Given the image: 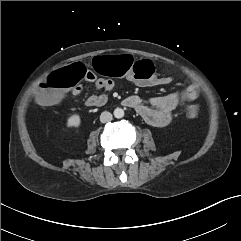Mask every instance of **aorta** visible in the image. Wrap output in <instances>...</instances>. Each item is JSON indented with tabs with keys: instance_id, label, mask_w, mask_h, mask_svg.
Here are the masks:
<instances>
[{
	"instance_id": "1",
	"label": "aorta",
	"mask_w": 241,
	"mask_h": 241,
	"mask_svg": "<svg viewBox=\"0 0 241 241\" xmlns=\"http://www.w3.org/2000/svg\"><path fill=\"white\" fill-rule=\"evenodd\" d=\"M114 116L115 118H118V119L124 117V110L121 108H116L114 110Z\"/></svg>"
}]
</instances>
